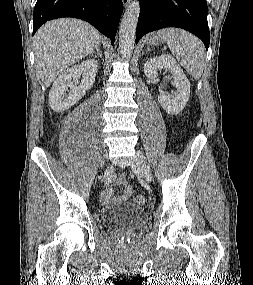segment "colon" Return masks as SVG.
Wrapping results in <instances>:
<instances>
[{
  "label": "colon",
  "instance_id": "5ec220e1",
  "mask_svg": "<svg viewBox=\"0 0 253 285\" xmlns=\"http://www.w3.org/2000/svg\"><path fill=\"white\" fill-rule=\"evenodd\" d=\"M136 205H145L147 202V198L143 194L136 195L133 199Z\"/></svg>",
  "mask_w": 253,
  "mask_h": 285
}]
</instances>
